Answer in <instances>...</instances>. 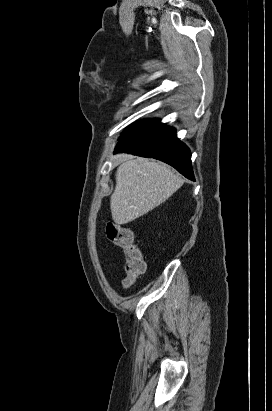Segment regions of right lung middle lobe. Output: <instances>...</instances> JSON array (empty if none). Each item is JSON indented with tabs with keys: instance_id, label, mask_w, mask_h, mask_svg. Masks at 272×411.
I'll return each mask as SVG.
<instances>
[{
	"instance_id": "obj_1",
	"label": "right lung middle lobe",
	"mask_w": 272,
	"mask_h": 411,
	"mask_svg": "<svg viewBox=\"0 0 272 411\" xmlns=\"http://www.w3.org/2000/svg\"><path fill=\"white\" fill-rule=\"evenodd\" d=\"M160 120L158 119H150V120H144V121H139L136 124H133L131 127L126 129V131L121 135L120 139H124L128 136L134 135L140 131H143L157 123H159Z\"/></svg>"
}]
</instances>
